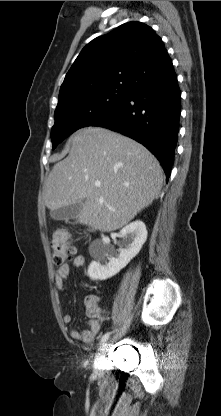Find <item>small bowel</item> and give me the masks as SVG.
Here are the masks:
<instances>
[{
	"instance_id": "obj_1",
	"label": "small bowel",
	"mask_w": 221,
	"mask_h": 416,
	"mask_svg": "<svg viewBox=\"0 0 221 416\" xmlns=\"http://www.w3.org/2000/svg\"><path fill=\"white\" fill-rule=\"evenodd\" d=\"M85 263V259L82 255H76L71 264L63 262L58 265L54 273V281L59 291L64 290V282L69 275L71 266L74 268H81ZM86 315L89 318L88 327L84 330L71 329L69 331L70 337L74 340L83 342L84 344H91L96 335L100 331V325L107 319L105 312L97 305L96 299L90 297L85 301ZM62 321L64 324H69L72 321L70 313H64L62 315Z\"/></svg>"
}]
</instances>
